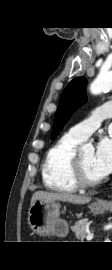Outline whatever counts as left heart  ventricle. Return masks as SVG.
Returning <instances> with one entry per match:
<instances>
[{
  "instance_id": "1",
  "label": "left heart ventricle",
  "mask_w": 112,
  "mask_h": 270,
  "mask_svg": "<svg viewBox=\"0 0 112 270\" xmlns=\"http://www.w3.org/2000/svg\"><path fill=\"white\" fill-rule=\"evenodd\" d=\"M93 157L94 154L90 153H80L79 159L82 167L83 174L87 180L95 181L99 180L100 177L96 174L93 168Z\"/></svg>"
}]
</instances>
